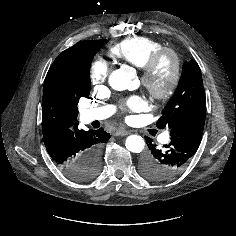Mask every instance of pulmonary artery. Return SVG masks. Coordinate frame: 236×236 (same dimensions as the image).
Segmentation results:
<instances>
[{"instance_id":"pulmonary-artery-1","label":"pulmonary artery","mask_w":236,"mask_h":236,"mask_svg":"<svg viewBox=\"0 0 236 236\" xmlns=\"http://www.w3.org/2000/svg\"><path fill=\"white\" fill-rule=\"evenodd\" d=\"M113 113L112 106H104L99 108L87 109L83 112V119L86 123L94 120H103L109 117ZM162 142L169 141V135L167 133L163 134L161 137Z\"/></svg>"}]
</instances>
